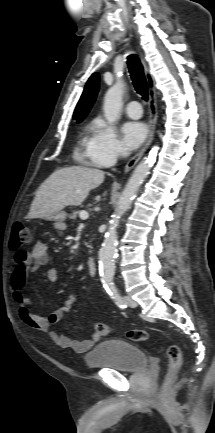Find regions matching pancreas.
Returning a JSON list of instances; mask_svg holds the SVG:
<instances>
[{
  "mask_svg": "<svg viewBox=\"0 0 215 433\" xmlns=\"http://www.w3.org/2000/svg\"><path fill=\"white\" fill-rule=\"evenodd\" d=\"M83 211H74L71 215H70V219H76L78 215H80Z\"/></svg>",
  "mask_w": 215,
  "mask_h": 433,
  "instance_id": "pancreas-1",
  "label": "pancreas"
}]
</instances>
